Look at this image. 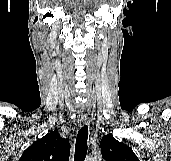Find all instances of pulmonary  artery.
<instances>
[{
	"label": "pulmonary artery",
	"instance_id": "pulmonary-artery-1",
	"mask_svg": "<svg viewBox=\"0 0 171 161\" xmlns=\"http://www.w3.org/2000/svg\"><path fill=\"white\" fill-rule=\"evenodd\" d=\"M86 161H91V159H87Z\"/></svg>",
	"mask_w": 171,
	"mask_h": 161
}]
</instances>
